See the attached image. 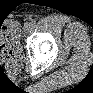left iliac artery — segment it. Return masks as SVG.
<instances>
[{"mask_svg":"<svg viewBox=\"0 0 93 93\" xmlns=\"http://www.w3.org/2000/svg\"><path fill=\"white\" fill-rule=\"evenodd\" d=\"M31 24H32V25H35V24H36V20H32V21H31Z\"/></svg>","mask_w":93,"mask_h":93,"instance_id":"1","label":"left iliac artery"}]
</instances>
